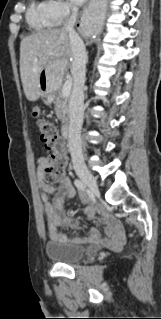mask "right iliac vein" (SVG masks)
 Wrapping results in <instances>:
<instances>
[{
  "label": "right iliac vein",
  "mask_w": 161,
  "mask_h": 319,
  "mask_svg": "<svg viewBox=\"0 0 161 319\" xmlns=\"http://www.w3.org/2000/svg\"><path fill=\"white\" fill-rule=\"evenodd\" d=\"M79 178L89 187L93 193L98 192V186L95 177L86 169H77Z\"/></svg>",
  "instance_id": "63e3f726"
}]
</instances>
